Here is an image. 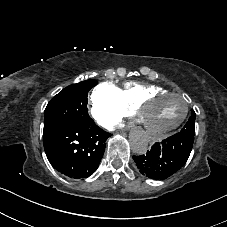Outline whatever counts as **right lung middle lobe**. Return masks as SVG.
I'll return each instance as SVG.
<instances>
[{
	"label": "right lung middle lobe",
	"instance_id": "right-lung-middle-lobe-1",
	"mask_svg": "<svg viewBox=\"0 0 227 227\" xmlns=\"http://www.w3.org/2000/svg\"><path fill=\"white\" fill-rule=\"evenodd\" d=\"M97 81L87 80L72 84L54 96L44 111L43 136L74 122H93L88 115L87 95Z\"/></svg>",
	"mask_w": 227,
	"mask_h": 227
}]
</instances>
